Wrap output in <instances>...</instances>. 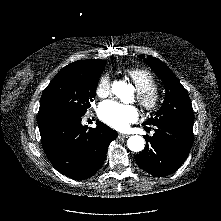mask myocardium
I'll use <instances>...</instances> for the list:
<instances>
[{"mask_svg": "<svg viewBox=\"0 0 221 221\" xmlns=\"http://www.w3.org/2000/svg\"><path fill=\"white\" fill-rule=\"evenodd\" d=\"M136 98L141 108L147 113L158 111L163 102V95L156 87L138 91Z\"/></svg>", "mask_w": 221, "mask_h": 221, "instance_id": "obj_1", "label": "myocardium"}]
</instances>
